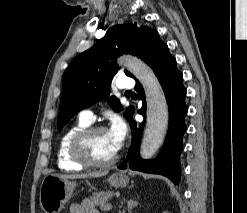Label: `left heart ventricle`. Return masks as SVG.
Wrapping results in <instances>:
<instances>
[{
	"mask_svg": "<svg viewBox=\"0 0 247 213\" xmlns=\"http://www.w3.org/2000/svg\"><path fill=\"white\" fill-rule=\"evenodd\" d=\"M88 155L97 161H107L117 152L113 146L108 131L95 134L87 146Z\"/></svg>",
	"mask_w": 247,
	"mask_h": 213,
	"instance_id": "left-heart-ventricle-1",
	"label": "left heart ventricle"
}]
</instances>
